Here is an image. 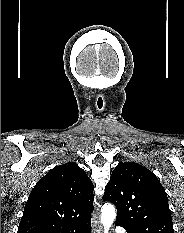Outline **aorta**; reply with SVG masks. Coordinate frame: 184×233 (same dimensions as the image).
<instances>
[{"label": "aorta", "mask_w": 184, "mask_h": 233, "mask_svg": "<svg viewBox=\"0 0 184 233\" xmlns=\"http://www.w3.org/2000/svg\"><path fill=\"white\" fill-rule=\"evenodd\" d=\"M101 211V223L104 227V233H109L116 217L115 207L112 204H104Z\"/></svg>", "instance_id": "762f6f07"}]
</instances>
